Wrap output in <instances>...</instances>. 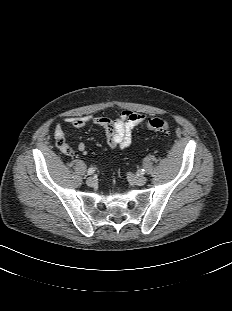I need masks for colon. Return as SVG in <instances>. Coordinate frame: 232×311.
Returning a JSON list of instances; mask_svg holds the SVG:
<instances>
[{
  "instance_id": "obj_1",
  "label": "colon",
  "mask_w": 232,
  "mask_h": 311,
  "mask_svg": "<svg viewBox=\"0 0 232 311\" xmlns=\"http://www.w3.org/2000/svg\"><path fill=\"white\" fill-rule=\"evenodd\" d=\"M147 128L150 131L169 134L170 133V125L163 118L155 117L151 118L146 123Z\"/></svg>"
}]
</instances>
